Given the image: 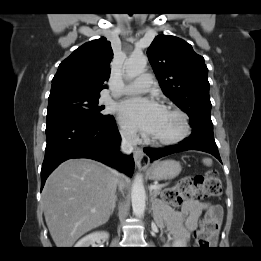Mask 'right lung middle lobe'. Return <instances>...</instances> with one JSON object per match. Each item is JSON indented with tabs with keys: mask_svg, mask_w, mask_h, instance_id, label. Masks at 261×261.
I'll return each instance as SVG.
<instances>
[{
	"mask_svg": "<svg viewBox=\"0 0 261 261\" xmlns=\"http://www.w3.org/2000/svg\"><path fill=\"white\" fill-rule=\"evenodd\" d=\"M99 96H87L75 92H60L49 96L47 121L62 117L77 116L103 119L110 115L100 113Z\"/></svg>",
	"mask_w": 261,
	"mask_h": 261,
	"instance_id": "right-lung-middle-lobe-1",
	"label": "right lung middle lobe"
}]
</instances>
